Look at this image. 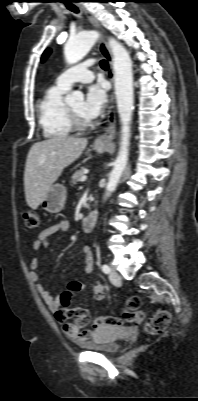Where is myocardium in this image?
<instances>
[{"mask_svg": "<svg viewBox=\"0 0 198 401\" xmlns=\"http://www.w3.org/2000/svg\"><path fill=\"white\" fill-rule=\"evenodd\" d=\"M67 113L70 124L75 130L85 131L91 129L95 125V122L92 120L86 121L82 119L71 107L67 106Z\"/></svg>", "mask_w": 198, "mask_h": 401, "instance_id": "1", "label": "myocardium"}]
</instances>
